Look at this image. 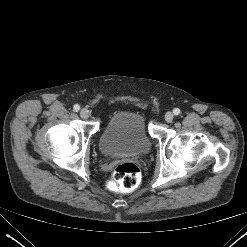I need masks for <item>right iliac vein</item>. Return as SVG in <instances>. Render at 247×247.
<instances>
[{"instance_id":"obj_1","label":"right iliac vein","mask_w":247,"mask_h":247,"mask_svg":"<svg viewBox=\"0 0 247 247\" xmlns=\"http://www.w3.org/2000/svg\"><path fill=\"white\" fill-rule=\"evenodd\" d=\"M80 116L83 119H88V117H89V111L87 109H84V108L81 109Z\"/></svg>"}]
</instances>
